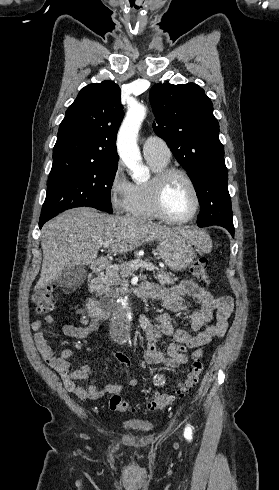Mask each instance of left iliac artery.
Masks as SVG:
<instances>
[{
  "label": "left iliac artery",
  "instance_id": "44dca946",
  "mask_svg": "<svg viewBox=\"0 0 279 490\" xmlns=\"http://www.w3.org/2000/svg\"><path fill=\"white\" fill-rule=\"evenodd\" d=\"M184 436L188 440L192 439V429L189 425L185 428Z\"/></svg>",
  "mask_w": 279,
  "mask_h": 490
}]
</instances>
